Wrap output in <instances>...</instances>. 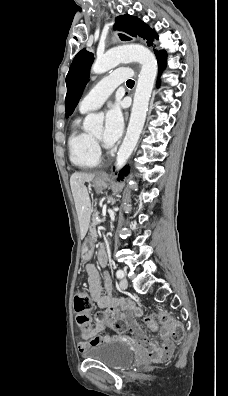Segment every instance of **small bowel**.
Here are the masks:
<instances>
[{"label": "small bowel", "instance_id": "1", "mask_svg": "<svg viewBox=\"0 0 228 396\" xmlns=\"http://www.w3.org/2000/svg\"><path fill=\"white\" fill-rule=\"evenodd\" d=\"M103 257L106 259L105 251L99 252L98 259ZM89 256H85L87 261ZM87 281L89 286V294L91 299L99 306L102 311L108 314L111 319H121L127 323L128 329L132 337L140 343L148 351L150 358L155 362H162L169 359L174 351V343L168 338L167 332H162L163 342L157 345L150 341L140 328L136 318L143 315V310L137 307L132 301L124 298L116 297L112 292V280L109 274L104 275V290L100 283V276L96 266L92 263H86ZM108 324L98 322L95 327H89L87 330L81 331L82 341L78 347L80 351L88 346L97 345L101 342L114 339H124L123 336L100 335Z\"/></svg>", "mask_w": 228, "mask_h": 396}]
</instances>
